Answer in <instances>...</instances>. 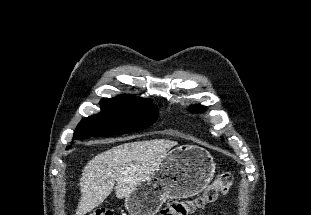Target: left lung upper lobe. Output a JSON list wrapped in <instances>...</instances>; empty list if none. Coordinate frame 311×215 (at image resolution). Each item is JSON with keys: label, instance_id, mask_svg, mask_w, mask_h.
Wrapping results in <instances>:
<instances>
[{"label": "left lung upper lobe", "instance_id": "obj_1", "mask_svg": "<svg viewBox=\"0 0 311 215\" xmlns=\"http://www.w3.org/2000/svg\"><path fill=\"white\" fill-rule=\"evenodd\" d=\"M195 108L198 109V110H204V107H202L200 105L196 106Z\"/></svg>", "mask_w": 311, "mask_h": 215}]
</instances>
